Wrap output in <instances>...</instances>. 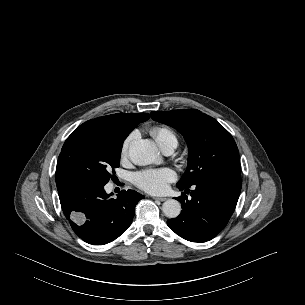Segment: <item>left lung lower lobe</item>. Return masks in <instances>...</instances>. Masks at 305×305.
Instances as JSON below:
<instances>
[{
	"instance_id": "left-lung-lower-lobe-1",
	"label": "left lung lower lobe",
	"mask_w": 305,
	"mask_h": 305,
	"mask_svg": "<svg viewBox=\"0 0 305 305\" xmlns=\"http://www.w3.org/2000/svg\"><path fill=\"white\" fill-rule=\"evenodd\" d=\"M177 187L189 192V187ZM191 200L177 197L182 204L181 214L167 221L169 228L192 242L213 239L227 225L241 191V173L212 175L193 185Z\"/></svg>"
}]
</instances>
